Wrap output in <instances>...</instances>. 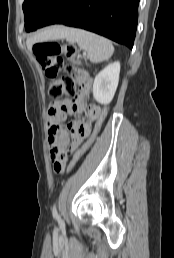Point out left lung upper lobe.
<instances>
[{"label": "left lung upper lobe", "instance_id": "obj_1", "mask_svg": "<svg viewBox=\"0 0 174 258\" xmlns=\"http://www.w3.org/2000/svg\"><path fill=\"white\" fill-rule=\"evenodd\" d=\"M62 0H24L23 12L26 31H34L42 25Z\"/></svg>", "mask_w": 174, "mask_h": 258}]
</instances>
